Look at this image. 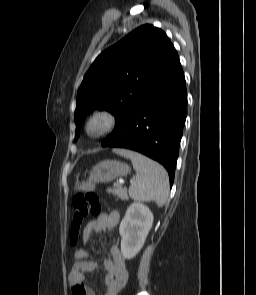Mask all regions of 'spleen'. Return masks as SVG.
Wrapping results in <instances>:
<instances>
[{"label":"spleen","mask_w":256,"mask_h":295,"mask_svg":"<svg viewBox=\"0 0 256 295\" xmlns=\"http://www.w3.org/2000/svg\"><path fill=\"white\" fill-rule=\"evenodd\" d=\"M117 153L129 158L138 174L129 188L130 197L136 201H154L158 207L163 206L169 194V178L163 166L130 150H117Z\"/></svg>","instance_id":"obj_1"}]
</instances>
